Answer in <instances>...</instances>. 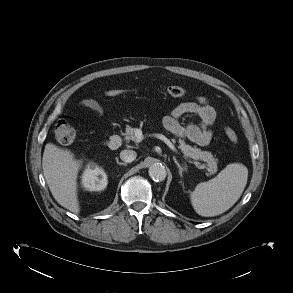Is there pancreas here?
Wrapping results in <instances>:
<instances>
[{
	"instance_id": "obj_1",
	"label": "pancreas",
	"mask_w": 293,
	"mask_h": 293,
	"mask_svg": "<svg viewBox=\"0 0 293 293\" xmlns=\"http://www.w3.org/2000/svg\"><path fill=\"white\" fill-rule=\"evenodd\" d=\"M136 128H132L131 126L126 127V131L124 133L125 140L129 141H136ZM175 143L176 139H172ZM178 148L183 152V154L187 157H190L194 160H202L207 164V170L210 174H214L217 172V159H215L211 152L202 151L199 148L193 147L185 143L184 140H178Z\"/></svg>"
}]
</instances>
